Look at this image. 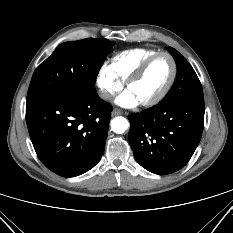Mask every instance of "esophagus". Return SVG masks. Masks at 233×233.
<instances>
[{"instance_id": "esophagus-1", "label": "esophagus", "mask_w": 233, "mask_h": 233, "mask_svg": "<svg viewBox=\"0 0 233 233\" xmlns=\"http://www.w3.org/2000/svg\"><path fill=\"white\" fill-rule=\"evenodd\" d=\"M121 114H123V111L121 109L114 108L112 111V116H117V115H121Z\"/></svg>"}]
</instances>
